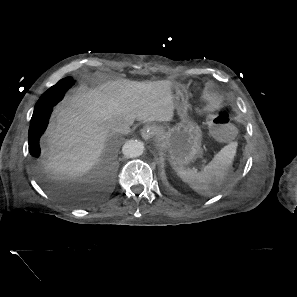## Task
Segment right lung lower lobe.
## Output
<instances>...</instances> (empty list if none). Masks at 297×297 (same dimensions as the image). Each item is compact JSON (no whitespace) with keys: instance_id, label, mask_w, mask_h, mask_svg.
I'll list each match as a JSON object with an SVG mask.
<instances>
[{"instance_id":"obj_1","label":"right lung lower lobe","mask_w":297,"mask_h":297,"mask_svg":"<svg viewBox=\"0 0 297 297\" xmlns=\"http://www.w3.org/2000/svg\"><path fill=\"white\" fill-rule=\"evenodd\" d=\"M53 106L54 105L48 107L39 116H35L33 113L31 118L29 128V152L35 158H38L40 155L39 139L47 128Z\"/></svg>"}]
</instances>
